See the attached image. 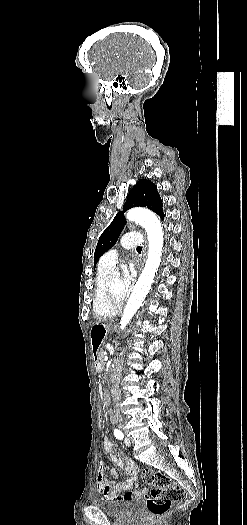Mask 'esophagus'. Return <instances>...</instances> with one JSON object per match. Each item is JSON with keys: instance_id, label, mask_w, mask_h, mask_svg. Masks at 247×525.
Wrapping results in <instances>:
<instances>
[{"instance_id": "esophagus-1", "label": "esophagus", "mask_w": 247, "mask_h": 525, "mask_svg": "<svg viewBox=\"0 0 247 525\" xmlns=\"http://www.w3.org/2000/svg\"><path fill=\"white\" fill-rule=\"evenodd\" d=\"M147 267V264L145 262H142L139 267V273H142V270Z\"/></svg>"}]
</instances>
